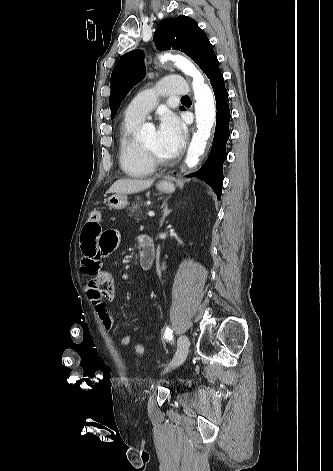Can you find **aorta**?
<instances>
[{
    "label": "aorta",
    "instance_id": "762f6f07",
    "mask_svg": "<svg viewBox=\"0 0 333 471\" xmlns=\"http://www.w3.org/2000/svg\"><path fill=\"white\" fill-rule=\"evenodd\" d=\"M163 61L173 60L178 69L185 75L193 78L192 88L195 99V116L197 131L194 133L185 159L186 165L191 168L198 164L203 155L207 141L211 136L212 127L216 118L214 97L211 89L204 83V77L188 59L180 56L165 54ZM149 128L145 125L142 133Z\"/></svg>",
    "mask_w": 333,
    "mask_h": 471
}]
</instances>
